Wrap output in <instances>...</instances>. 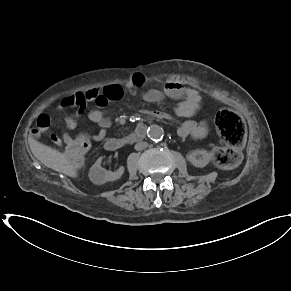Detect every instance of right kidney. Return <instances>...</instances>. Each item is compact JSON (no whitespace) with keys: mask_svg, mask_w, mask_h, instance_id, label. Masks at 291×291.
<instances>
[{"mask_svg":"<svg viewBox=\"0 0 291 291\" xmlns=\"http://www.w3.org/2000/svg\"><path fill=\"white\" fill-rule=\"evenodd\" d=\"M102 157L99 158L96 163L91 167L89 172L90 180L96 184L101 185L109 181H115L121 178L124 173V167H120L118 170L111 172L101 167Z\"/></svg>","mask_w":291,"mask_h":291,"instance_id":"obj_1","label":"right kidney"}]
</instances>
